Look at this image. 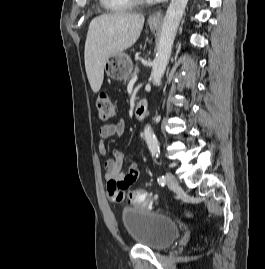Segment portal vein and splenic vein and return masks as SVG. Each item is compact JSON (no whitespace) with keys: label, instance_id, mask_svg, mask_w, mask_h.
Returning <instances> with one entry per match:
<instances>
[{"label":"portal vein and splenic vein","instance_id":"18ae733b","mask_svg":"<svg viewBox=\"0 0 265 269\" xmlns=\"http://www.w3.org/2000/svg\"><path fill=\"white\" fill-rule=\"evenodd\" d=\"M136 81H137V76L133 77V78L130 80V84H134Z\"/></svg>","mask_w":265,"mask_h":269}]
</instances>
